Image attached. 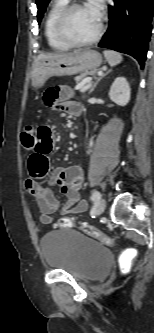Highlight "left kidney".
I'll return each mask as SVG.
<instances>
[{"label":"left kidney","mask_w":154,"mask_h":333,"mask_svg":"<svg viewBox=\"0 0 154 333\" xmlns=\"http://www.w3.org/2000/svg\"><path fill=\"white\" fill-rule=\"evenodd\" d=\"M131 89L124 77H117L109 91V98L120 106H125L130 100Z\"/></svg>","instance_id":"left-kidney-1"}]
</instances>
